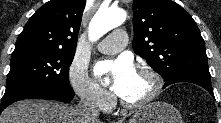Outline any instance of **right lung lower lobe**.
<instances>
[{
	"label": "right lung lower lobe",
	"instance_id": "98d812e1",
	"mask_svg": "<svg viewBox=\"0 0 221 123\" xmlns=\"http://www.w3.org/2000/svg\"><path fill=\"white\" fill-rule=\"evenodd\" d=\"M74 91L72 88H66L63 86L53 87L48 89L45 92H41L36 95L29 94L24 91L12 93L8 95L6 98L2 99L0 106V113L6 108L8 105L13 102L24 100V99H47V100H58L61 102H70L73 99Z\"/></svg>",
	"mask_w": 221,
	"mask_h": 123
}]
</instances>
